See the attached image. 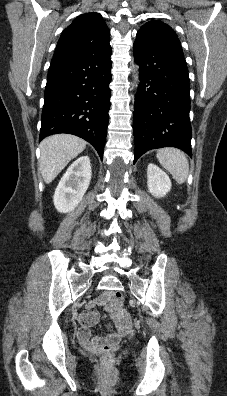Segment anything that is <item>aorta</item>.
Returning a JSON list of instances; mask_svg holds the SVG:
<instances>
[{
  "instance_id": "762f6f07",
  "label": "aorta",
  "mask_w": 227,
  "mask_h": 396,
  "mask_svg": "<svg viewBox=\"0 0 227 396\" xmlns=\"http://www.w3.org/2000/svg\"><path fill=\"white\" fill-rule=\"evenodd\" d=\"M138 69H139V67L135 66L134 79H135V82H136V87L138 86V82H139V71H138Z\"/></svg>"
}]
</instances>
